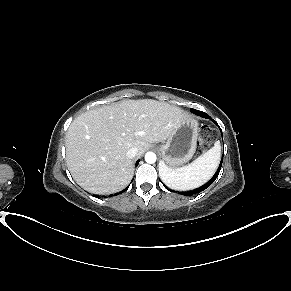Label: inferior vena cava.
I'll return each instance as SVG.
<instances>
[{"instance_id": "inferior-vena-cava-1", "label": "inferior vena cava", "mask_w": 291, "mask_h": 291, "mask_svg": "<svg viewBox=\"0 0 291 291\" xmlns=\"http://www.w3.org/2000/svg\"><path fill=\"white\" fill-rule=\"evenodd\" d=\"M137 152V148L132 147L127 151L126 156L130 159H133L137 155Z\"/></svg>"}]
</instances>
